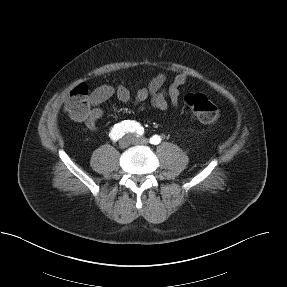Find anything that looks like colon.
<instances>
[{
  "label": "colon",
  "mask_w": 287,
  "mask_h": 287,
  "mask_svg": "<svg viewBox=\"0 0 287 287\" xmlns=\"http://www.w3.org/2000/svg\"><path fill=\"white\" fill-rule=\"evenodd\" d=\"M188 109L203 123L214 124L220 120L221 114L217 106L201 93H189L184 97ZM64 109L76 121H84L90 111L89 91L81 84L69 94Z\"/></svg>",
  "instance_id": "1"
}]
</instances>
